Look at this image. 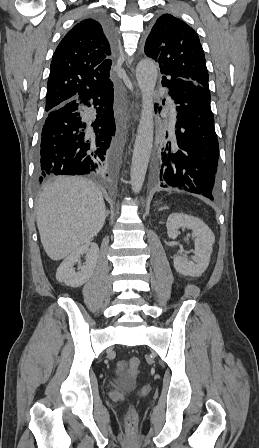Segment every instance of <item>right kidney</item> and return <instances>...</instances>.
<instances>
[{
	"instance_id": "1",
	"label": "right kidney",
	"mask_w": 259,
	"mask_h": 448,
	"mask_svg": "<svg viewBox=\"0 0 259 448\" xmlns=\"http://www.w3.org/2000/svg\"><path fill=\"white\" fill-rule=\"evenodd\" d=\"M83 254H85L86 262L84 266H79V272H75L73 266H75L76 262L80 264ZM98 254L99 248L94 242H88V244L80 246V248L71 252L70 256H67L66 260L60 264L56 272V280L64 282L66 286H71V288L83 286L95 272Z\"/></svg>"
}]
</instances>
